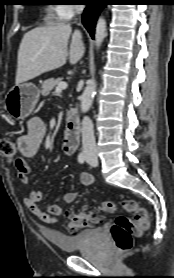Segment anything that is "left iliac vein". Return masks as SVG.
I'll return each instance as SVG.
<instances>
[{
    "label": "left iliac vein",
    "mask_w": 174,
    "mask_h": 278,
    "mask_svg": "<svg viewBox=\"0 0 174 278\" xmlns=\"http://www.w3.org/2000/svg\"><path fill=\"white\" fill-rule=\"evenodd\" d=\"M87 162L91 166L95 167V166L98 165V158H97L96 155H90V156L87 157Z\"/></svg>",
    "instance_id": "4c4485c4"
}]
</instances>
